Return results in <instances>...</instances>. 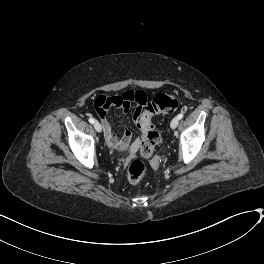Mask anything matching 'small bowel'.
Wrapping results in <instances>:
<instances>
[{
    "instance_id": "c3829d8e",
    "label": "small bowel",
    "mask_w": 264,
    "mask_h": 264,
    "mask_svg": "<svg viewBox=\"0 0 264 264\" xmlns=\"http://www.w3.org/2000/svg\"><path fill=\"white\" fill-rule=\"evenodd\" d=\"M137 94H141L140 99L137 98ZM146 96L143 92L140 91H125L121 96H98L94 101V106L96 112L100 118L101 124L103 126L106 144L108 148L113 152L121 153L125 151L131 141L132 133L128 126L123 128V135L121 138H118L115 128L112 124L109 112L111 109H120L123 112H128L130 109L131 102H135L139 105L137 107L134 122H138L142 118L143 111L140 106L145 103ZM141 145V139L138 137L130 146V151H136Z\"/></svg>"
}]
</instances>
